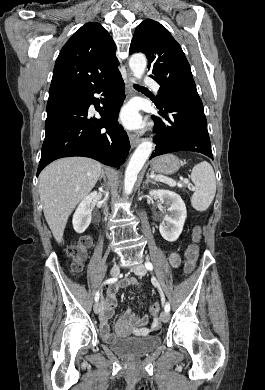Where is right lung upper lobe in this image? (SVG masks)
Returning a JSON list of instances; mask_svg holds the SVG:
<instances>
[{
    "mask_svg": "<svg viewBox=\"0 0 265 390\" xmlns=\"http://www.w3.org/2000/svg\"><path fill=\"white\" fill-rule=\"evenodd\" d=\"M115 52L113 39L99 23L82 26L58 55L48 100L83 92L119 72Z\"/></svg>",
    "mask_w": 265,
    "mask_h": 390,
    "instance_id": "right-lung-upper-lobe-1",
    "label": "right lung upper lobe"
}]
</instances>
